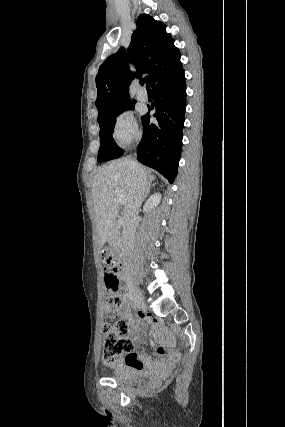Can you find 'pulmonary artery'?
<instances>
[{
  "instance_id": "obj_1",
  "label": "pulmonary artery",
  "mask_w": 285,
  "mask_h": 427,
  "mask_svg": "<svg viewBox=\"0 0 285 427\" xmlns=\"http://www.w3.org/2000/svg\"><path fill=\"white\" fill-rule=\"evenodd\" d=\"M137 98L143 102L148 100V94L144 88H139L137 91Z\"/></svg>"
}]
</instances>
